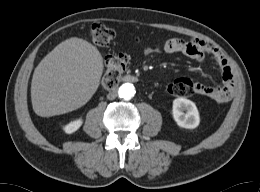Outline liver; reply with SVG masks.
Listing matches in <instances>:
<instances>
[{"instance_id":"1","label":"liver","mask_w":260,"mask_h":192,"mask_svg":"<svg viewBox=\"0 0 260 192\" xmlns=\"http://www.w3.org/2000/svg\"><path fill=\"white\" fill-rule=\"evenodd\" d=\"M103 69L101 53L88 41L71 37L61 42L34 70V112L50 117L82 107L97 91Z\"/></svg>"}]
</instances>
